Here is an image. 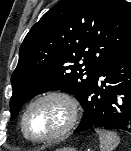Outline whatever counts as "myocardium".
I'll return each mask as SVG.
<instances>
[{"instance_id":"obj_1","label":"myocardium","mask_w":131,"mask_h":151,"mask_svg":"<svg viewBox=\"0 0 131 151\" xmlns=\"http://www.w3.org/2000/svg\"><path fill=\"white\" fill-rule=\"evenodd\" d=\"M48 100H56L64 105L67 112L66 122L59 130L49 136L41 138L32 137L26 130L27 115L35 105ZM78 118L79 105L77 100L71 94L63 90H49L39 94L27 104L21 116L20 127L23 136L27 140L33 143H48L55 141L69 133L76 125Z\"/></svg>"}]
</instances>
